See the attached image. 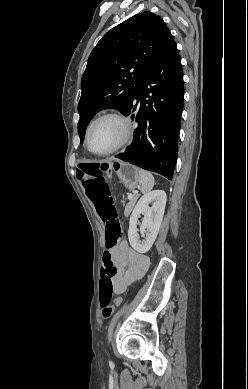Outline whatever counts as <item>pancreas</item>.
Instances as JSON below:
<instances>
[{"mask_svg":"<svg viewBox=\"0 0 248 389\" xmlns=\"http://www.w3.org/2000/svg\"><path fill=\"white\" fill-rule=\"evenodd\" d=\"M138 197H139L138 195H133V198L129 199V202H128V204L125 207V215L130 214V212L133 209V207H134Z\"/></svg>","mask_w":248,"mask_h":389,"instance_id":"cf45deb5","label":"pancreas"}]
</instances>
